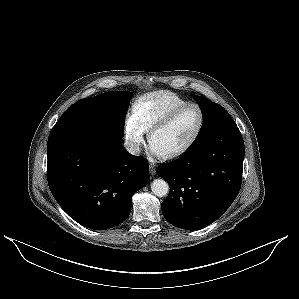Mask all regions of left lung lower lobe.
<instances>
[{"mask_svg": "<svg viewBox=\"0 0 299 299\" xmlns=\"http://www.w3.org/2000/svg\"><path fill=\"white\" fill-rule=\"evenodd\" d=\"M244 154L242 135L231 120L177 161L158 168L170 185L161 205L166 220L198 230L222 216L239 193Z\"/></svg>", "mask_w": 299, "mask_h": 299, "instance_id": "1", "label": "left lung lower lobe"}]
</instances>
